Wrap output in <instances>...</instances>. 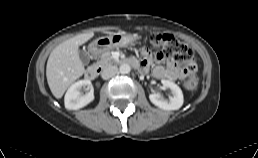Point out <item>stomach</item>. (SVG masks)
<instances>
[{"instance_id":"stomach-1","label":"stomach","mask_w":258,"mask_h":158,"mask_svg":"<svg viewBox=\"0 0 258 158\" xmlns=\"http://www.w3.org/2000/svg\"><path fill=\"white\" fill-rule=\"evenodd\" d=\"M136 40L137 36L134 34L114 33L97 38L91 43L90 47L95 54H100L116 47L132 45Z\"/></svg>"}]
</instances>
